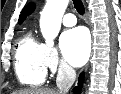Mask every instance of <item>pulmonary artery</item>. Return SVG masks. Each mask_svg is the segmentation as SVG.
I'll return each mask as SVG.
<instances>
[{
	"instance_id": "pulmonary-artery-1",
	"label": "pulmonary artery",
	"mask_w": 121,
	"mask_h": 94,
	"mask_svg": "<svg viewBox=\"0 0 121 94\" xmlns=\"http://www.w3.org/2000/svg\"><path fill=\"white\" fill-rule=\"evenodd\" d=\"M62 22L65 26L71 27L77 23V19L74 14L67 13L63 16Z\"/></svg>"
}]
</instances>
